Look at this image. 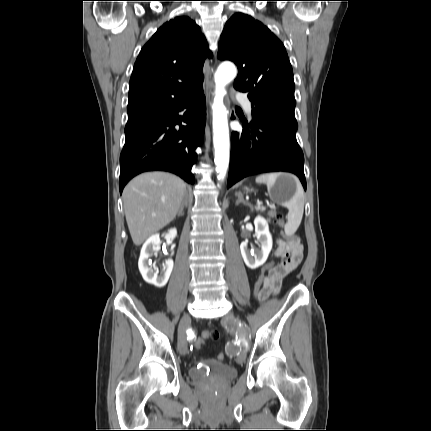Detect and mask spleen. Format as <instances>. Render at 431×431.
Returning <instances> with one entry per match:
<instances>
[{
    "mask_svg": "<svg viewBox=\"0 0 431 431\" xmlns=\"http://www.w3.org/2000/svg\"><path fill=\"white\" fill-rule=\"evenodd\" d=\"M283 173L262 174L256 177L257 183H265L271 187L276 182L277 178ZM288 208V219L285 224V233L290 236L298 229L304 212V191L300 183L297 181V191L293 198L286 204Z\"/></svg>",
    "mask_w": 431,
    "mask_h": 431,
    "instance_id": "obj_1",
    "label": "spleen"
}]
</instances>
